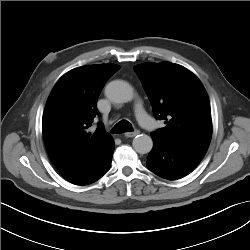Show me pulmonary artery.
Listing matches in <instances>:
<instances>
[{"label": "pulmonary artery", "mask_w": 250, "mask_h": 250, "mask_svg": "<svg viewBox=\"0 0 250 250\" xmlns=\"http://www.w3.org/2000/svg\"><path fill=\"white\" fill-rule=\"evenodd\" d=\"M135 114L138 122L145 128H151L153 125L152 118L147 114L141 104H137L135 107Z\"/></svg>", "instance_id": "1"}]
</instances>
